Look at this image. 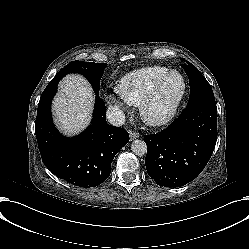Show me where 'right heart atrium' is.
<instances>
[{
	"instance_id": "obj_1",
	"label": "right heart atrium",
	"mask_w": 249,
	"mask_h": 249,
	"mask_svg": "<svg viewBox=\"0 0 249 249\" xmlns=\"http://www.w3.org/2000/svg\"><path fill=\"white\" fill-rule=\"evenodd\" d=\"M111 107L118 113H125L129 108L126 102L120 98L113 99V101L111 102Z\"/></svg>"
}]
</instances>
